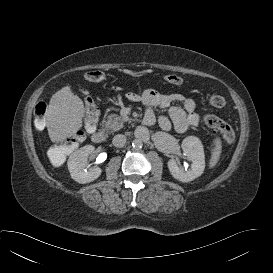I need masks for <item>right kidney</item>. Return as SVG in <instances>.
Masks as SVG:
<instances>
[{"label":"right kidney","instance_id":"obj_1","mask_svg":"<svg viewBox=\"0 0 273 273\" xmlns=\"http://www.w3.org/2000/svg\"><path fill=\"white\" fill-rule=\"evenodd\" d=\"M94 146L86 145L73 152L67 162L71 178L78 183L85 184L97 179L102 170L99 167L85 169L89 155L94 151Z\"/></svg>","mask_w":273,"mask_h":273}]
</instances>
